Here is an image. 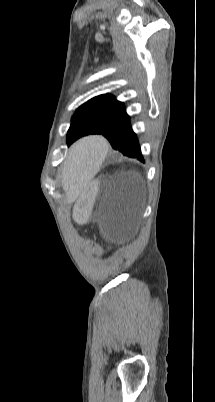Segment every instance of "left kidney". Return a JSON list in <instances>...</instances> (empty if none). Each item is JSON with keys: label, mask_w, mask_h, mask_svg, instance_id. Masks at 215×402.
<instances>
[{"label": "left kidney", "mask_w": 215, "mask_h": 402, "mask_svg": "<svg viewBox=\"0 0 215 402\" xmlns=\"http://www.w3.org/2000/svg\"><path fill=\"white\" fill-rule=\"evenodd\" d=\"M95 183V182H94ZM88 191L83 192L82 197L85 200H77L75 202V216L76 222H89L90 221V210L94 208V193H98L100 187L98 184H90L87 187Z\"/></svg>", "instance_id": "5707ae66"}]
</instances>
